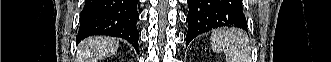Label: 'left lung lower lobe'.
I'll return each mask as SVG.
<instances>
[{
    "label": "left lung lower lobe",
    "mask_w": 331,
    "mask_h": 62,
    "mask_svg": "<svg viewBox=\"0 0 331 62\" xmlns=\"http://www.w3.org/2000/svg\"><path fill=\"white\" fill-rule=\"evenodd\" d=\"M189 25L186 45L197 35L211 29L228 26L247 31L242 0H187Z\"/></svg>",
    "instance_id": "obj_1"
}]
</instances>
